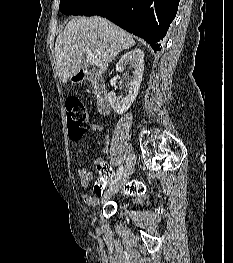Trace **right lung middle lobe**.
I'll return each mask as SVG.
<instances>
[{"mask_svg":"<svg viewBox=\"0 0 233 263\" xmlns=\"http://www.w3.org/2000/svg\"><path fill=\"white\" fill-rule=\"evenodd\" d=\"M101 0H60L59 9L66 15H87Z\"/></svg>","mask_w":233,"mask_h":263,"instance_id":"obj_1","label":"right lung middle lobe"}]
</instances>
